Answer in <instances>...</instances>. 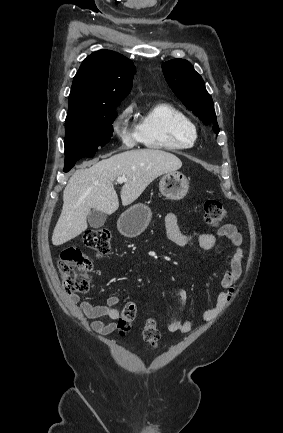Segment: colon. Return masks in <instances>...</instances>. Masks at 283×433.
<instances>
[{
    "label": "colon",
    "mask_w": 283,
    "mask_h": 433,
    "mask_svg": "<svg viewBox=\"0 0 283 433\" xmlns=\"http://www.w3.org/2000/svg\"><path fill=\"white\" fill-rule=\"evenodd\" d=\"M203 216L207 225L217 227L228 218V212L218 200L209 199L203 203ZM84 244L98 256H105L110 252V233L104 229L88 231L84 235ZM91 269V260L78 248L64 249L60 255L58 270L66 293L72 295L85 292L89 287L88 273ZM136 314L137 307L134 303L130 302L124 306L117 323L121 335L131 330ZM142 338L150 347L158 344L160 332L153 319L145 323Z\"/></svg>",
    "instance_id": "colon-1"
}]
</instances>
